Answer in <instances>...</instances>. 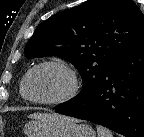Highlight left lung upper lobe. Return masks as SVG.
Listing matches in <instances>:
<instances>
[{
    "instance_id": "obj_1",
    "label": "left lung upper lobe",
    "mask_w": 144,
    "mask_h": 137,
    "mask_svg": "<svg viewBox=\"0 0 144 137\" xmlns=\"http://www.w3.org/2000/svg\"><path fill=\"white\" fill-rule=\"evenodd\" d=\"M143 29L144 15L132 0H88L42 22L24 52L28 59L57 55L75 65L83 80L79 98L97 85Z\"/></svg>"
}]
</instances>
